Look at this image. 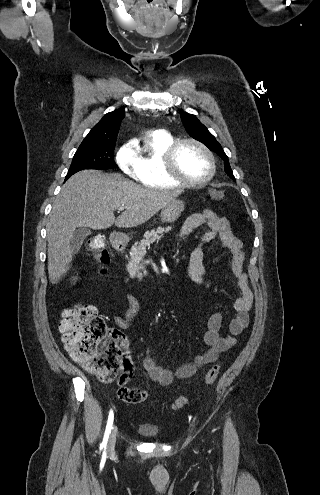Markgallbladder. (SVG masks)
Wrapping results in <instances>:
<instances>
[{
    "instance_id": "bac80fb5",
    "label": "gallbladder",
    "mask_w": 320,
    "mask_h": 495,
    "mask_svg": "<svg viewBox=\"0 0 320 495\" xmlns=\"http://www.w3.org/2000/svg\"><path fill=\"white\" fill-rule=\"evenodd\" d=\"M91 233L90 229L86 227H80L74 230L73 235L70 239V246L74 253L78 252L81 244Z\"/></svg>"
}]
</instances>
